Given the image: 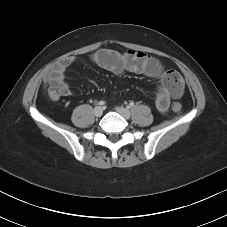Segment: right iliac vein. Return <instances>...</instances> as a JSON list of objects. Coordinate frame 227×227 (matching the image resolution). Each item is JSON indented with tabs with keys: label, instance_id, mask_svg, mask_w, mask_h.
<instances>
[{
	"label": "right iliac vein",
	"instance_id": "1",
	"mask_svg": "<svg viewBox=\"0 0 227 227\" xmlns=\"http://www.w3.org/2000/svg\"><path fill=\"white\" fill-rule=\"evenodd\" d=\"M103 114V108L100 106H97L94 108V115L96 117H100Z\"/></svg>",
	"mask_w": 227,
	"mask_h": 227
}]
</instances>
